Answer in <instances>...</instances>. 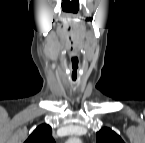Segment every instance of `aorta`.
<instances>
[{"mask_svg":"<svg viewBox=\"0 0 145 143\" xmlns=\"http://www.w3.org/2000/svg\"><path fill=\"white\" fill-rule=\"evenodd\" d=\"M69 142H79V139H78V138H71V139L69 140Z\"/></svg>","mask_w":145,"mask_h":143,"instance_id":"aorta-1","label":"aorta"}]
</instances>
